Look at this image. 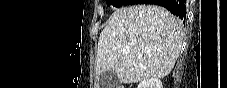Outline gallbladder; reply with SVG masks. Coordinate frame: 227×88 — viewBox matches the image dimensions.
<instances>
[{
	"label": "gallbladder",
	"mask_w": 227,
	"mask_h": 88,
	"mask_svg": "<svg viewBox=\"0 0 227 88\" xmlns=\"http://www.w3.org/2000/svg\"><path fill=\"white\" fill-rule=\"evenodd\" d=\"M99 85L101 88H117L119 86V79L114 71H106L100 75Z\"/></svg>",
	"instance_id": "1"
}]
</instances>
